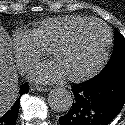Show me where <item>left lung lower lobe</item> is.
I'll return each mask as SVG.
<instances>
[{
	"instance_id": "left-lung-lower-lobe-1",
	"label": "left lung lower lobe",
	"mask_w": 125,
	"mask_h": 125,
	"mask_svg": "<svg viewBox=\"0 0 125 125\" xmlns=\"http://www.w3.org/2000/svg\"><path fill=\"white\" fill-rule=\"evenodd\" d=\"M75 100L60 125H107L125 103V69L73 85Z\"/></svg>"
}]
</instances>
